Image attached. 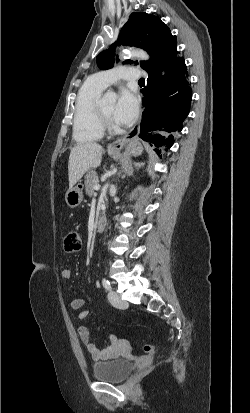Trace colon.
I'll return each mask as SVG.
<instances>
[{"label":"colon","mask_w":250,"mask_h":413,"mask_svg":"<svg viewBox=\"0 0 250 413\" xmlns=\"http://www.w3.org/2000/svg\"><path fill=\"white\" fill-rule=\"evenodd\" d=\"M82 237L78 231H69L64 240V248L69 253L78 252L81 249ZM145 353H153L156 349L154 344H146L142 347Z\"/></svg>","instance_id":"obj_1"}]
</instances>
